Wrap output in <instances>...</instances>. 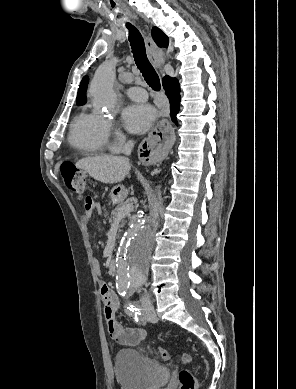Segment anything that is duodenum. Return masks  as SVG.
<instances>
[{
	"mask_svg": "<svg viewBox=\"0 0 296 389\" xmlns=\"http://www.w3.org/2000/svg\"><path fill=\"white\" fill-rule=\"evenodd\" d=\"M108 267L111 274L114 275L117 273V263L115 259L110 260Z\"/></svg>",
	"mask_w": 296,
	"mask_h": 389,
	"instance_id": "duodenum-1",
	"label": "duodenum"
}]
</instances>
